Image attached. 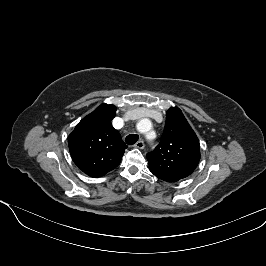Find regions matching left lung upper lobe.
<instances>
[{
    "label": "left lung upper lobe",
    "mask_w": 266,
    "mask_h": 266,
    "mask_svg": "<svg viewBox=\"0 0 266 266\" xmlns=\"http://www.w3.org/2000/svg\"><path fill=\"white\" fill-rule=\"evenodd\" d=\"M150 171L159 179L177 182L193 173L200 160L199 140L182 111H167L159 145L147 154Z\"/></svg>",
    "instance_id": "obj_1"
}]
</instances>
